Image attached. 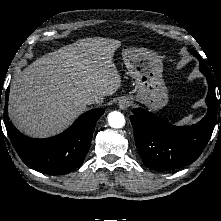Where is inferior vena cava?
Listing matches in <instances>:
<instances>
[{
    "label": "inferior vena cava",
    "mask_w": 221,
    "mask_h": 221,
    "mask_svg": "<svg viewBox=\"0 0 221 221\" xmlns=\"http://www.w3.org/2000/svg\"><path fill=\"white\" fill-rule=\"evenodd\" d=\"M85 103L90 105V104L98 103V100L97 98H94V97H88L86 98Z\"/></svg>",
    "instance_id": "inferior-vena-cava-1"
}]
</instances>
